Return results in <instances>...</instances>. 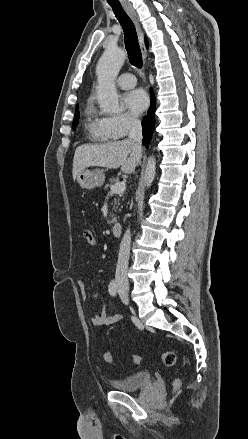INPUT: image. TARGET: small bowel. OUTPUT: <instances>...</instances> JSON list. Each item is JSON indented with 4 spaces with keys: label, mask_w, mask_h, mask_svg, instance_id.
Returning a JSON list of instances; mask_svg holds the SVG:
<instances>
[{
    "label": "small bowel",
    "mask_w": 248,
    "mask_h": 439,
    "mask_svg": "<svg viewBox=\"0 0 248 439\" xmlns=\"http://www.w3.org/2000/svg\"><path fill=\"white\" fill-rule=\"evenodd\" d=\"M87 263H89V261H87ZM77 283H78V288H79L80 294H81L82 298L85 299L86 298L85 283L82 279H79ZM93 299H94L95 304L97 305L96 312L91 319L93 326H95V327H108V326H111V325L117 323L118 321H120L122 319V316L119 314H114V315L107 314V312L105 310V306L102 302V297L99 293H95L93 295Z\"/></svg>",
    "instance_id": "1"
}]
</instances>
